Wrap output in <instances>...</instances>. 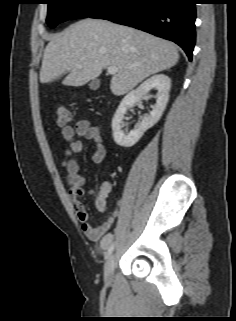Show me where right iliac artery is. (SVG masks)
<instances>
[{
  "instance_id": "obj_1",
  "label": "right iliac artery",
  "mask_w": 236,
  "mask_h": 321,
  "mask_svg": "<svg viewBox=\"0 0 236 321\" xmlns=\"http://www.w3.org/2000/svg\"><path fill=\"white\" fill-rule=\"evenodd\" d=\"M113 250H114V244L112 243L108 246L107 255L109 256L113 252Z\"/></svg>"
}]
</instances>
